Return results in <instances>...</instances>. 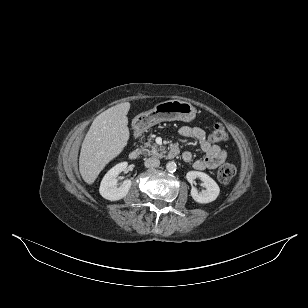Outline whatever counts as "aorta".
Returning <instances> with one entry per match:
<instances>
[{
	"mask_svg": "<svg viewBox=\"0 0 308 308\" xmlns=\"http://www.w3.org/2000/svg\"><path fill=\"white\" fill-rule=\"evenodd\" d=\"M176 168H177V165L175 162L171 161V162H168L166 164V169L168 172H174L176 171Z\"/></svg>",
	"mask_w": 308,
	"mask_h": 308,
	"instance_id": "aorta-1",
	"label": "aorta"
}]
</instances>
